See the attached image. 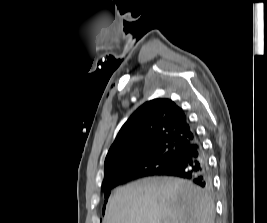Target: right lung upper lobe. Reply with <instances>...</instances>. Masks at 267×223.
<instances>
[{
    "instance_id": "obj_1",
    "label": "right lung upper lobe",
    "mask_w": 267,
    "mask_h": 223,
    "mask_svg": "<svg viewBox=\"0 0 267 223\" xmlns=\"http://www.w3.org/2000/svg\"><path fill=\"white\" fill-rule=\"evenodd\" d=\"M196 139L185 111L170 99H154L140 106L125 122L105 159V177L135 171L133 162L155 149L175 145L185 150ZM103 181V182H104Z\"/></svg>"
}]
</instances>
